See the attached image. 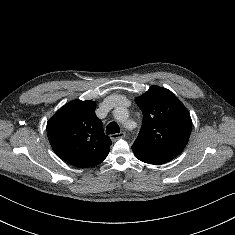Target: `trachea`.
<instances>
[{
  "instance_id": "3493384b",
  "label": "trachea",
  "mask_w": 235,
  "mask_h": 235,
  "mask_svg": "<svg viewBox=\"0 0 235 235\" xmlns=\"http://www.w3.org/2000/svg\"><path fill=\"white\" fill-rule=\"evenodd\" d=\"M119 132L120 128L116 122H110L106 127V134H115Z\"/></svg>"
}]
</instances>
